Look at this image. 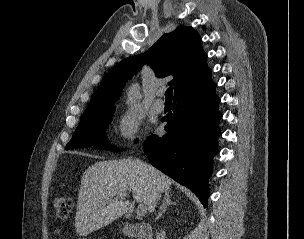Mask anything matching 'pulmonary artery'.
Returning a JSON list of instances; mask_svg holds the SVG:
<instances>
[{
  "label": "pulmonary artery",
  "instance_id": "e3ab8cb5",
  "mask_svg": "<svg viewBox=\"0 0 304 239\" xmlns=\"http://www.w3.org/2000/svg\"><path fill=\"white\" fill-rule=\"evenodd\" d=\"M164 91L163 90H159L157 95L158 98L154 101V108L155 110H157L158 112H161L164 110L165 108V102L160 98L163 95Z\"/></svg>",
  "mask_w": 304,
  "mask_h": 239
}]
</instances>
